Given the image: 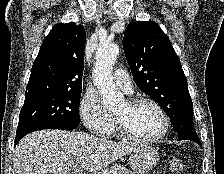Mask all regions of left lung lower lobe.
<instances>
[{"mask_svg":"<svg viewBox=\"0 0 224 174\" xmlns=\"http://www.w3.org/2000/svg\"><path fill=\"white\" fill-rule=\"evenodd\" d=\"M176 132L178 134L179 140L183 139L191 140L198 143L201 146L200 139L198 138L195 128L192 124H185L181 126L178 130H176Z\"/></svg>","mask_w":224,"mask_h":174,"instance_id":"1","label":"left lung lower lobe"}]
</instances>
